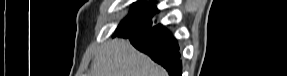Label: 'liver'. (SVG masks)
Listing matches in <instances>:
<instances>
[{"mask_svg":"<svg viewBox=\"0 0 287 76\" xmlns=\"http://www.w3.org/2000/svg\"><path fill=\"white\" fill-rule=\"evenodd\" d=\"M92 76H167L166 71L128 41H108L95 55Z\"/></svg>","mask_w":287,"mask_h":76,"instance_id":"6515ba94","label":"liver"}]
</instances>
